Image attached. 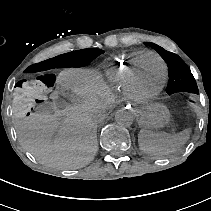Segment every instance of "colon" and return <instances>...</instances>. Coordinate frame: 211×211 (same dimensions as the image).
<instances>
[{
  "label": "colon",
  "mask_w": 211,
  "mask_h": 211,
  "mask_svg": "<svg viewBox=\"0 0 211 211\" xmlns=\"http://www.w3.org/2000/svg\"><path fill=\"white\" fill-rule=\"evenodd\" d=\"M56 83L54 74L42 73L31 80L17 83L13 96V111L18 117L29 116L42 103Z\"/></svg>",
  "instance_id": "obj_1"
}]
</instances>
